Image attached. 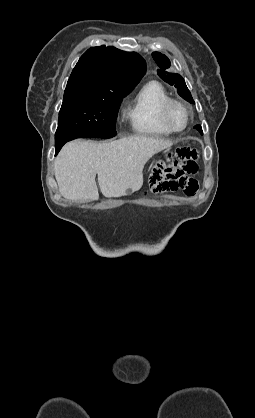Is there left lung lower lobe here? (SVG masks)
<instances>
[{"mask_svg":"<svg viewBox=\"0 0 255 418\" xmlns=\"http://www.w3.org/2000/svg\"><path fill=\"white\" fill-rule=\"evenodd\" d=\"M201 126L200 125H196L194 128H200Z\"/></svg>","mask_w":255,"mask_h":418,"instance_id":"1","label":"left lung lower lobe"}]
</instances>
